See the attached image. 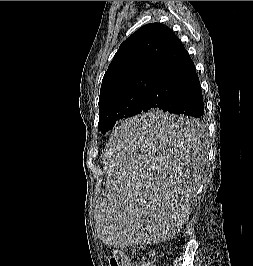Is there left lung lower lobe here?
<instances>
[{"instance_id": "left-lung-lower-lobe-1", "label": "left lung lower lobe", "mask_w": 253, "mask_h": 266, "mask_svg": "<svg viewBox=\"0 0 253 266\" xmlns=\"http://www.w3.org/2000/svg\"><path fill=\"white\" fill-rule=\"evenodd\" d=\"M160 109L192 118L170 123H148L149 132L172 139L196 137L204 104L195 65L180 39L174 35L161 56L145 94L142 112Z\"/></svg>"}]
</instances>
